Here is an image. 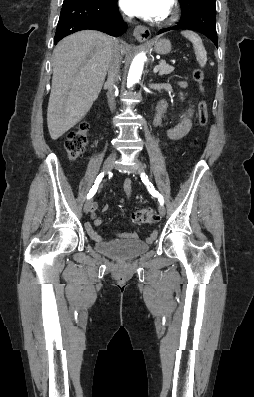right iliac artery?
<instances>
[{
  "label": "right iliac artery",
  "instance_id": "82829eb1",
  "mask_svg": "<svg viewBox=\"0 0 254 397\" xmlns=\"http://www.w3.org/2000/svg\"><path fill=\"white\" fill-rule=\"evenodd\" d=\"M103 177H104L103 172L98 175V177L95 180V184L92 186L91 190L89 191V193L87 195V199H90L96 193L97 188H98L100 182L102 181Z\"/></svg>",
  "mask_w": 254,
  "mask_h": 397
}]
</instances>
